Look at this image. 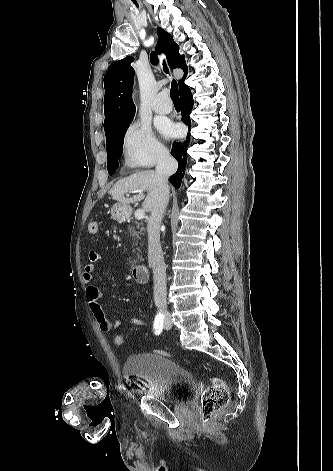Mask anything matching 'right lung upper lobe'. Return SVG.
<instances>
[{
	"instance_id": "right-lung-upper-lobe-1",
	"label": "right lung upper lobe",
	"mask_w": 333,
	"mask_h": 471,
	"mask_svg": "<svg viewBox=\"0 0 333 471\" xmlns=\"http://www.w3.org/2000/svg\"><path fill=\"white\" fill-rule=\"evenodd\" d=\"M159 42L156 51H163L166 55L168 64L171 69L181 68L184 76L179 80L180 91L186 86L184 83L187 68L183 55L179 54V46L173 40V37L164 31L158 29ZM133 57H126L115 62L105 73L104 76V130L107 131L111 127L132 119L135 113V106L132 101V87L134 82V69L130 63ZM151 62H157V56L151 53Z\"/></svg>"
}]
</instances>
